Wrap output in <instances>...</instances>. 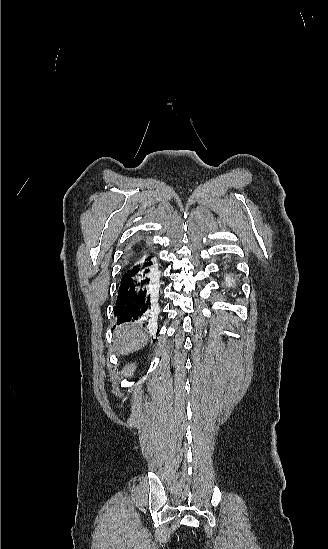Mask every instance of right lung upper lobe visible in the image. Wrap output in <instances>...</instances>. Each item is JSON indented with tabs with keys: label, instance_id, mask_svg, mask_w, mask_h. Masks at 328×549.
<instances>
[{
	"label": "right lung upper lobe",
	"instance_id": "right-lung-upper-lobe-1",
	"mask_svg": "<svg viewBox=\"0 0 328 549\" xmlns=\"http://www.w3.org/2000/svg\"><path fill=\"white\" fill-rule=\"evenodd\" d=\"M146 256H151L150 253L147 250V247L143 241L138 242L134 245V249L131 253V257L129 258L128 262L129 264L135 263L136 261H130V260H137L139 258H144Z\"/></svg>",
	"mask_w": 328,
	"mask_h": 549
}]
</instances>
